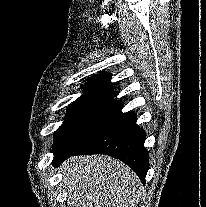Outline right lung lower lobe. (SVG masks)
<instances>
[{"instance_id":"1","label":"right lung lower lobe","mask_w":206,"mask_h":207,"mask_svg":"<svg viewBox=\"0 0 206 207\" xmlns=\"http://www.w3.org/2000/svg\"><path fill=\"white\" fill-rule=\"evenodd\" d=\"M145 139V131L136 125V115L133 112L123 113L78 148L54 152L53 165L58 166L74 155L106 154L123 161L145 183L149 169Z\"/></svg>"}]
</instances>
